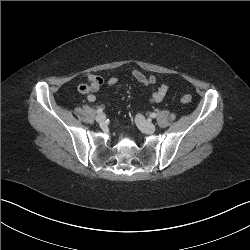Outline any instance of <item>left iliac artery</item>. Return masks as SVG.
I'll use <instances>...</instances> for the list:
<instances>
[{
    "label": "left iliac artery",
    "instance_id": "obj_1",
    "mask_svg": "<svg viewBox=\"0 0 250 250\" xmlns=\"http://www.w3.org/2000/svg\"><path fill=\"white\" fill-rule=\"evenodd\" d=\"M156 116H157L156 113H151V114H150V117H151V118H155Z\"/></svg>",
    "mask_w": 250,
    "mask_h": 250
}]
</instances>
